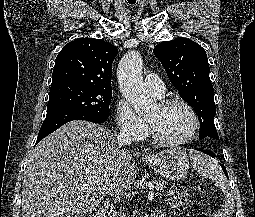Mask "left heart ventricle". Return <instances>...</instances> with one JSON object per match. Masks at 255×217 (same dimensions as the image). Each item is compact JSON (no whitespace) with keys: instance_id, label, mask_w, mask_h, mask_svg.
I'll return each mask as SVG.
<instances>
[{"instance_id":"1","label":"left heart ventricle","mask_w":255,"mask_h":217,"mask_svg":"<svg viewBox=\"0 0 255 217\" xmlns=\"http://www.w3.org/2000/svg\"><path fill=\"white\" fill-rule=\"evenodd\" d=\"M147 120L158 135L170 140L186 137L193 124L188 110L179 104L167 108H161L158 104L147 115Z\"/></svg>"}]
</instances>
